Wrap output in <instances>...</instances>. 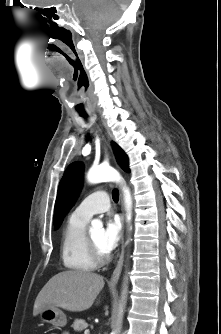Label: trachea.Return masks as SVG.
Here are the masks:
<instances>
[{"mask_svg": "<svg viewBox=\"0 0 221 334\" xmlns=\"http://www.w3.org/2000/svg\"><path fill=\"white\" fill-rule=\"evenodd\" d=\"M84 117H85V116H84ZM112 197H113V200H114L115 202L118 201V198H119V192H118V190H113Z\"/></svg>", "mask_w": 221, "mask_h": 334, "instance_id": "1", "label": "trachea"}]
</instances>
